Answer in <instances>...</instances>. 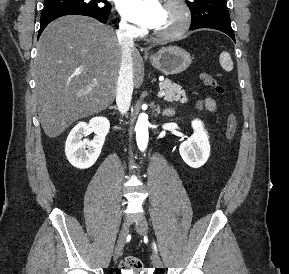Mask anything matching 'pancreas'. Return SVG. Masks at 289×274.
<instances>
[{
  "mask_svg": "<svg viewBox=\"0 0 289 274\" xmlns=\"http://www.w3.org/2000/svg\"><path fill=\"white\" fill-rule=\"evenodd\" d=\"M160 91L165 92L164 99L167 101H180L181 103L187 102L185 91L176 83L169 79H165L159 84Z\"/></svg>",
  "mask_w": 289,
  "mask_h": 274,
  "instance_id": "1",
  "label": "pancreas"
}]
</instances>
